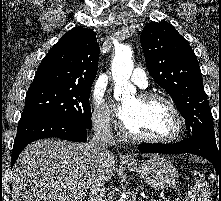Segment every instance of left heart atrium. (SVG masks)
I'll return each mask as SVG.
<instances>
[{
	"instance_id": "1",
	"label": "left heart atrium",
	"mask_w": 221,
	"mask_h": 201,
	"mask_svg": "<svg viewBox=\"0 0 221 201\" xmlns=\"http://www.w3.org/2000/svg\"><path fill=\"white\" fill-rule=\"evenodd\" d=\"M116 112H117L119 118L123 120V118L125 117V114H126L125 107L124 106H120V107L116 108Z\"/></svg>"
}]
</instances>
